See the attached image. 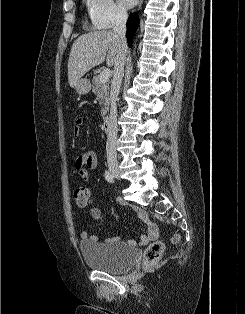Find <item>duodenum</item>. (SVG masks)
<instances>
[{
    "instance_id": "obj_1",
    "label": "duodenum",
    "mask_w": 245,
    "mask_h": 314,
    "mask_svg": "<svg viewBox=\"0 0 245 314\" xmlns=\"http://www.w3.org/2000/svg\"><path fill=\"white\" fill-rule=\"evenodd\" d=\"M102 127L105 132H110L111 129V118L106 116L102 121Z\"/></svg>"
}]
</instances>
